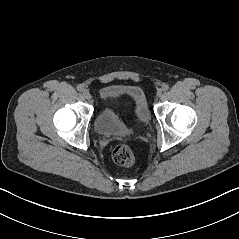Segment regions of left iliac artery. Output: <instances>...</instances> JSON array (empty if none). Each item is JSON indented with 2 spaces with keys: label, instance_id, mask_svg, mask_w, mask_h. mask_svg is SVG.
Here are the masks:
<instances>
[{
  "label": "left iliac artery",
  "instance_id": "44dca946",
  "mask_svg": "<svg viewBox=\"0 0 239 239\" xmlns=\"http://www.w3.org/2000/svg\"><path fill=\"white\" fill-rule=\"evenodd\" d=\"M168 89H169V86H168V85H166V84L163 85V87H162V90H163V91H167Z\"/></svg>",
  "mask_w": 239,
  "mask_h": 239
}]
</instances>
